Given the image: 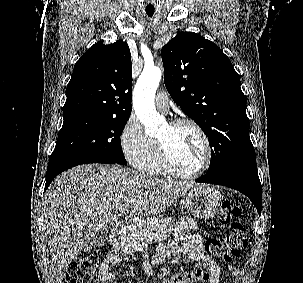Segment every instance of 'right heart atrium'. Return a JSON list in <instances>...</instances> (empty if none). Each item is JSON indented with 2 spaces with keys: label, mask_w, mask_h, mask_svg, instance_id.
Returning <instances> with one entry per match:
<instances>
[{
  "label": "right heart atrium",
  "mask_w": 303,
  "mask_h": 283,
  "mask_svg": "<svg viewBox=\"0 0 303 283\" xmlns=\"http://www.w3.org/2000/svg\"><path fill=\"white\" fill-rule=\"evenodd\" d=\"M119 143L127 162L139 166L149 155L154 140L146 134L140 122L131 116L120 132Z\"/></svg>",
  "instance_id": "obj_1"
}]
</instances>
